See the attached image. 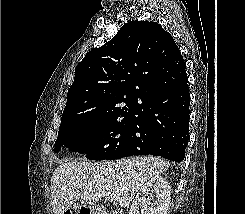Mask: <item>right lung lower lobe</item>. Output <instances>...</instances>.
Returning <instances> with one entry per match:
<instances>
[{"label": "right lung lower lobe", "instance_id": "obj_1", "mask_svg": "<svg viewBox=\"0 0 245 214\" xmlns=\"http://www.w3.org/2000/svg\"><path fill=\"white\" fill-rule=\"evenodd\" d=\"M188 79L154 90L135 110L127 143L115 159L153 155L181 162L189 139Z\"/></svg>", "mask_w": 245, "mask_h": 214}]
</instances>
